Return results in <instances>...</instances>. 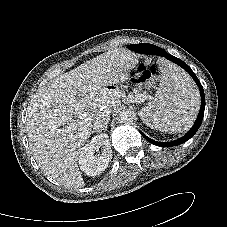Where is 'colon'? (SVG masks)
Listing matches in <instances>:
<instances>
[{
  "label": "colon",
  "mask_w": 227,
  "mask_h": 227,
  "mask_svg": "<svg viewBox=\"0 0 227 227\" xmlns=\"http://www.w3.org/2000/svg\"><path fill=\"white\" fill-rule=\"evenodd\" d=\"M130 77L132 82L136 84H152L156 77V68L154 66L147 67L140 64L131 71Z\"/></svg>",
  "instance_id": "5ec220e1"
}]
</instances>
